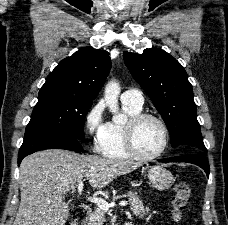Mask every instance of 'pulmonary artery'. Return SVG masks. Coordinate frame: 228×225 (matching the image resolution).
I'll use <instances>...</instances> for the list:
<instances>
[{"mask_svg": "<svg viewBox=\"0 0 228 225\" xmlns=\"http://www.w3.org/2000/svg\"><path fill=\"white\" fill-rule=\"evenodd\" d=\"M121 101L123 104L142 107L144 104V97L142 92L138 90L125 91L121 94Z\"/></svg>", "mask_w": 228, "mask_h": 225, "instance_id": "obj_1", "label": "pulmonary artery"}]
</instances>
